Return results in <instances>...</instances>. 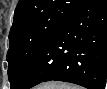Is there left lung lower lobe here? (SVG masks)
<instances>
[{"instance_id": "1", "label": "left lung lower lobe", "mask_w": 107, "mask_h": 89, "mask_svg": "<svg viewBox=\"0 0 107 89\" xmlns=\"http://www.w3.org/2000/svg\"><path fill=\"white\" fill-rule=\"evenodd\" d=\"M107 0H86L47 40L12 89L45 81L105 89Z\"/></svg>"}]
</instances>
